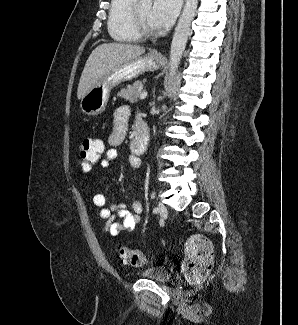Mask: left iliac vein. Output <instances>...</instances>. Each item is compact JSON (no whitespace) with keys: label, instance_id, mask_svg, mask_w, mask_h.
I'll list each match as a JSON object with an SVG mask.
<instances>
[{"label":"left iliac vein","instance_id":"1","mask_svg":"<svg viewBox=\"0 0 298 325\" xmlns=\"http://www.w3.org/2000/svg\"><path fill=\"white\" fill-rule=\"evenodd\" d=\"M158 209L160 216L165 219L168 215L166 206L163 203H159Z\"/></svg>","mask_w":298,"mask_h":325}]
</instances>
